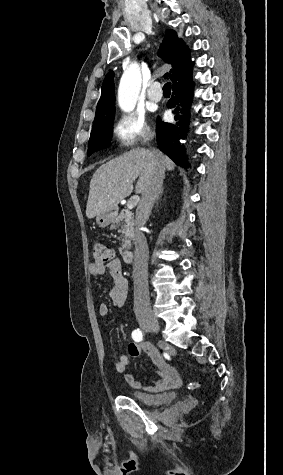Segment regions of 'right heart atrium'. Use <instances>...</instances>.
Returning a JSON list of instances; mask_svg holds the SVG:
<instances>
[{"label":"right heart atrium","instance_id":"d8ad5b80","mask_svg":"<svg viewBox=\"0 0 283 475\" xmlns=\"http://www.w3.org/2000/svg\"><path fill=\"white\" fill-rule=\"evenodd\" d=\"M111 133L117 145L127 151L125 154H129L143 151L142 146L147 143L153 130L142 114L129 113L114 121Z\"/></svg>","mask_w":283,"mask_h":475}]
</instances>
